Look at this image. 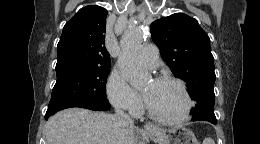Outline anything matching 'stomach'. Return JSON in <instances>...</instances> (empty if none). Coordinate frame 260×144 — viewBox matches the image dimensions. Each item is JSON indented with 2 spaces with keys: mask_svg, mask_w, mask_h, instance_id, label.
<instances>
[{
  "mask_svg": "<svg viewBox=\"0 0 260 144\" xmlns=\"http://www.w3.org/2000/svg\"><path fill=\"white\" fill-rule=\"evenodd\" d=\"M148 136L156 144H199L194 133L185 127H172L168 129L153 128Z\"/></svg>",
  "mask_w": 260,
  "mask_h": 144,
  "instance_id": "1",
  "label": "stomach"
}]
</instances>
